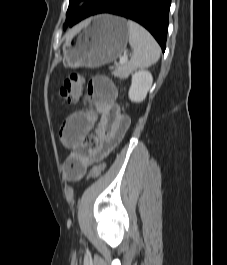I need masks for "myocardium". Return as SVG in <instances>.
Here are the masks:
<instances>
[{
    "label": "myocardium",
    "instance_id": "f54148a6",
    "mask_svg": "<svg viewBox=\"0 0 227 265\" xmlns=\"http://www.w3.org/2000/svg\"><path fill=\"white\" fill-rule=\"evenodd\" d=\"M86 2H87V0H79V1H78V4H79L80 6H82V5H84Z\"/></svg>",
    "mask_w": 227,
    "mask_h": 265
}]
</instances>
